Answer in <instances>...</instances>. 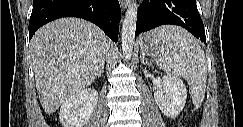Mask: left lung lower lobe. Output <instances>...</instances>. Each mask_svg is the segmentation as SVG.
<instances>
[{
    "label": "left lung lower lobe",
    "mask_w": 243,
    "mask_h": 127,
    "mask_svg": "<svg viewBox=\"0 0 243 127\" xmlns=\"http://www.w3.org/2000/svg\"><path fill=\"white\" fill-rule=\"evenodd\" d=\"M166 24L179 25L206 44L196 0H145L138 8L135 36Z\"/></svg>",
    "instance_id": "left-lung-lower-lobe-1"
}]
</instances>
